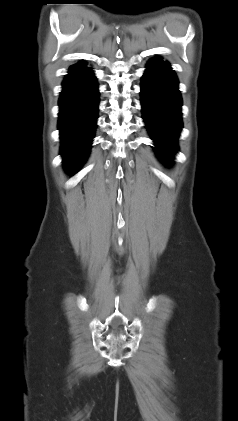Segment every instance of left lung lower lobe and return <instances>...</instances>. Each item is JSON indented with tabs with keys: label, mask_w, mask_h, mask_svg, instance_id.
<instances>
[{
	"label": "left lung lower lobe",
	"mask_w": 238,
	"mask_h": 421,
	"mask_svg": "<svg viewBox=\"0 0 238 421\" xmlns=\"http://www.w3.org/2000/svg\"><path fill=\"white\" fill-rule=\"evenodd\" d=\"M143 119L158 155L168 162L178 150L177 138L182 128L178 80L168 62L152 59L141 81Z\"/></svg>",
	"instance_id": "0a47b994"
}]
</instances>
